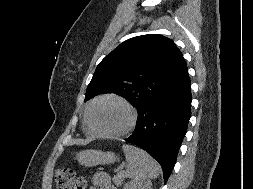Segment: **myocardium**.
<instances>
[{
  "instance_id": "1",
  "label": "myocardium",
  "mask_w": 253,
  "mask_h": 189,
  "mask_svg": "<svg viewBox=\"0 0 253 189\" xmlns=\"http://www.w3.org/2000/svg\"><path fill=\"white\" fill-rule=\"evenodd\" d=\"M105 100H115V101L121 103L123 106H125V108L128 110V112L130 114V119H129V122L126 125V127L123 128L122 130L117 131V132L105 133V132H101V131L97 130L95 128V126L93 125V122H92L93 108L98 103L105 101ZM137 119H138V114H137L136 109L132 106V104L130 102H128L125 98H123L119 95H116V94H106V95H102V96L96 98L89 105V107L86 111V114H85V121H86L87 127L94 135L101 137V138H120V137L126 136L135 128L136 123H137Z\"/></svg>"
}]
</instances>
